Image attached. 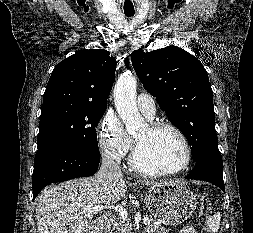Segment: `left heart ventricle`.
<instances>
[{
  "label": "left heart ventricle",
  "mask_w": 253,
  "mask_h": 233,
  "mask_svg": "<svg viewBox=\"0 0 253 233\" xmlns=\"http://www.w3.org/2000/svg\"><path fill=\"white\" fill-rule=\"evenodd\" d=\"M135 139L139 144L140 163L149 170H171L184 159V148L179 138L169 130L153 132L147 126Z\"/></svg>",
  "instance_id": "obj_1"
}]
</instances>
